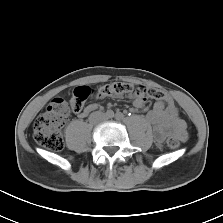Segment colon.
Masks as SVG:
<instances>
[{"instance_id": "obj_1", "label": "colon", "mask_w": 223, "mask_h": 223, "mask_svg": "<svg viewBox=\"0 0 223 223\" xmlns=\"http://www.w3.org/2000/svg\"><path fill=\"white\" fill-rule=\"evenodd\" d=\"M90 86H80L73 90L72 97L68 103L65 99L54 100L49 107L40 114L33 123V137L35 142L43 148L51 151H60L63 148L61 129L67 122L70 111L81 112L86 101L93 95ZM122 94H133L142 100L162 99L168 107L173 106L172 97L164 91L143 85H134L128 82H114L106 84L98 89L97 97H109ZM178 137L170 136L167 145L171 149L179 146Z\"/></svg>"}]
</instances>
